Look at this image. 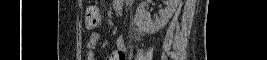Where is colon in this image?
<instances>
[{"label":"colon","mask_w":267,"mask_h":60,"mask_svg":"<svg viewBox=\"0 0 267 60\" xmlns=\"http://www.w3.org/2000/svg\"><path fill=\"white\" fill-rule=\"evenodd\" d=\"M85 26L88 30H94L101 24V15L98 9L89 8L87 9L84 16Z\"/></svg>","instance_id":"1"}]
</instances>
